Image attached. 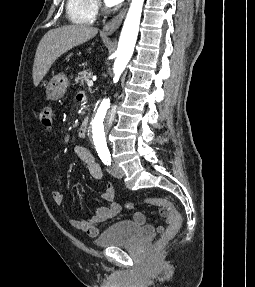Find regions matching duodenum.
<instances>
[{
    "mask_svg": "<svg viewBox=\"0 0 255 287\" xmlns=\"http://www.w3.org/2000/svg\"><path fill=\"white\" fill-rule=\"evenodd\" d=\"M79 100L87 102V95L86 94H80L78 96ZM88 125H89V121L88 118H85L79 125L78 127V135L81 138H85L87 136V131H88Z\"/></svg>",
    "mask_w": 255,
    "mask_h": 287,
    "instance_id": "410a0bca",
    "label": "duodenum"
}]
</instances>
